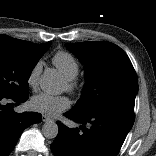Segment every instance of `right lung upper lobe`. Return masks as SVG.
Listing matches in <instances>:
<instances>
[{"mask_svg": "<svg viewBox=\"0 0 156 156\" xmlns=\"http://www.w3.org/2000/svg\"><path fill=\"white\" fill-rule=\"evenodd\" d=\"M0 40L9 41L11 43H14V44L23 46V47H25V48H27L29 50H37V49H40V48H42L46 44V43L45 44H35V43H32V42H28V41L14 39V38L8 37L6 35H1V34H0Z\"/></svg>", "mask_w": 156, "mask_h": 156, "instance_id": "cb5924a9", "label": "right lung upper lobe"}]
</instances>
